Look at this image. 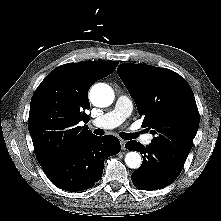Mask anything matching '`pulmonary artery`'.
<instances>
[{
  "instance_id": "pulmonary-artery-1",
  "label": "pulmonary artery",
  "mask_w": 221,
  "mask_h": 221,
  "mask_svg": "<svg viewBox=\"0 0 221 221\" xmlns=\"http://www.w3.org/2000/svg\"><path fill=\"white\" fill-rule=\"evenodd\" d=\"M131 112L132 103L130 99L125 95H121L118 97L114 108L110 112L94 119L92 124L102 129L114 128L126 120L131 115ZM152 139L153 136L148 134L142 138V141L144 144L149 145Z\"/></svg>"
}]
</instances>
